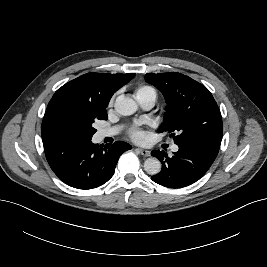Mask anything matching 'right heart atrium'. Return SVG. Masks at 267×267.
<instances>
[{"label":"right heart atrium","instance_id":"obj_1","mask_svg":"<svg viewBox=\"0 0 267 267\" xmlns=\"http://www.w3.org/2000/svg\"><path fill=\"white\" fill-rule=\"evenodd\" d=\"M113 100H114V98H111V100L109 101V106H111L113 104Z\"/></svg>","mask_w":267,"mask_h":267}]
</instances>
